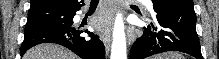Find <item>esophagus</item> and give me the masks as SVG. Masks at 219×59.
<instances>
[{"instance_id": "obj_1", "label": "esophagus", "mask_w": 219, "mask_h": 59, "mask_svg": "<svg viewBox=\"0 0 219 59\" xmlns=\"http://www.w3.org/2000/svg\"><path fill=\"white\" fill-rule=\"evenodd\" d=\"M119 0H109L110 9L107 10V16L103 27L99 31L100 39L104 43L106 53L108 54L111 46V23Z\"/></svg>"}]
</instances>
